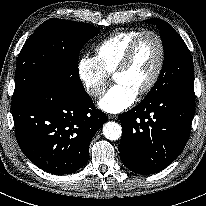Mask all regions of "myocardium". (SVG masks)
Returning a JSON list of instances; mask_svg holds the SVG:
<instances>
[{
    "mask_svg": "<svg viewBox=\"0 0 206 206\" xmlns=\"http://www.w3.org/2000/svg\"><path fill=\"white\" fill-rule=\"evenodd\" d=\"M146 35H151L157 40V43L159 46V59H158V64L156 66V69H155L151 79L149 80L147 85L137 93L138 96H144V95L148 94L155 87L156 83L158 82V80L161 76V73H162V70L164 67L165 45H164L162 37L157 32L152 31V30H145V31H142L141 33H139L132 40L130 45L128 46L122 60L120 61L119 65L117 66V68L115 69V71L113 73V76L115 77L117 74L123 73L127 70V68L129 67V65L134 57L135 51L137 49V46H138L140 40Z\"/></svg>",
    "mask_w": 206,
    "mask_h": 206,
    "instance_id": "obj_1",
    "label": "myocardium"
}]
</instances>
